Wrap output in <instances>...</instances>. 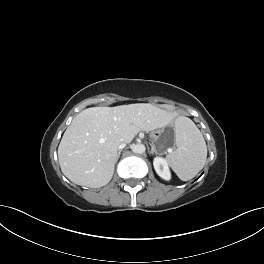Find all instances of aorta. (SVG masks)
Returning <instances> with one entry per match:
<instances>
[{
    "label": "aorta",
    "instance_id": "1",
    "mask_svg": "<svg viewBox=\"0 0 264 264\" xmlns=\"http://www.w3.org/2000/svg\"><path fill=\"white\" fill-rule=\"evenodd\" d=\"M145 150H146L145 146L141 143H138L132 146V151L133 153H136V154H142L145 152Z\"/></svg>",
    "mask_w": 264,
    "mask_h": 264
}]
</instances>
